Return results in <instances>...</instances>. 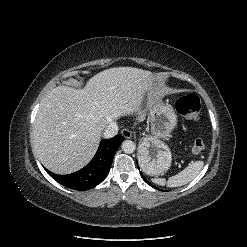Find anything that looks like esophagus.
Returning <instances> with one entry per match:
<instances>
[{"mask_svg": "<svg viewBox=\"0 0 247 247\" xmlns=\"http://www.w3.org/2000/svg\"><path fill=\"white\" fill-rule=\"evenodd\" d=\"M121 134H122V136H123L124 138H127V139H129V138L132 137V131L129 130L128 128L122 129V130H121Z\"/></svg>", "mask_w": 247, "mask_h": 247, "instance_id": "1", "label": "esophagus"}]
</instances>
